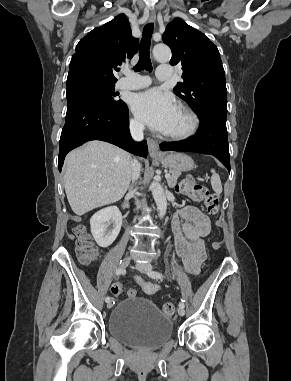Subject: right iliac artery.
<instances>
[{"label":"right iliac artery","instance_id":"1","mask_svg":"<svg viewBox=\"0 0 291 381\" xmlns=\"http://www.w3.org/2000/svg\"><path fill=\"white\" fill-rule=\"evenodd\" d=\"M125 272V270L123 269V268H118L117 270H116V274L119 276V275H121V274H123ZM105 301L106 302H109L110 301V297L109 296H107L106 298H105Z\"/></svg>","mask_w":291,"mask_h":381}]
</instances>
